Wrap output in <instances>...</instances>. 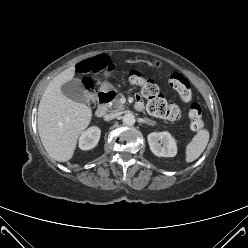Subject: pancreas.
<instances>
[{
    "label": "pancreas",
    "instance_id": "1",
    "mask_svg": "<svg viewBox=\"0 0 248 248\" xmlns=\"http://www.w3.org/2000/svg\"><path fill=\"white\" fill-rule=\"evenodd\" d=\"M123 96L122 93H119L110 103V107L113 111L119 112L124 109V105L120 102V98Z\"/></svg>",
    "mask_w": 248,
    "mask_h": 248
}]
</instances>
